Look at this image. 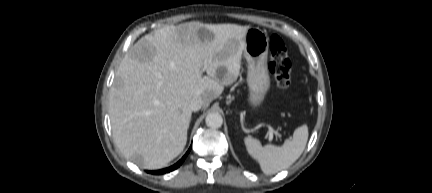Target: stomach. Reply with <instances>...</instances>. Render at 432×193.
<instances>
[{
    "instance_id": "stomach-1",
    "label": "stomach",
    "mask_w": 432,
    "mask_h": 193,
    "mask_svg": "<svg viewBox=\"0 0 432 193\" xmlns=\"http://www.w3.org/2000/svg\"><path fill=\"white\" fill-rule=\"evenodd\" d=\"M269 37L259 28H249L245 35L243 55L247 61L248 103L259 106L270 88L267 57Z\"/></svg>"
}]
</instances>
